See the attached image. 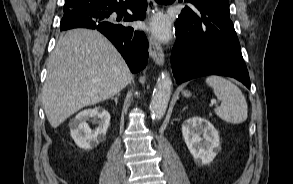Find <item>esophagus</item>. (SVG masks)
<instances>
[{"mask_svg": "<svg viewBox=\"0 0 293 184\" xmlns=\"http://www.w3.org/2000/svg\"><path fill=\"white\" fill-rule=\"evenodd\" d=\"M158 10V6L155 2V0H148V15L151 16L153 13H155ZM149 52L154 60V62L158 65H163L165 58H164V52L159 44V42L153 37L149 35Z\"/></svg>", "mask_w": 293, "mask_h": 184, "instance_id": "esophagus-1", "label": "esophagus"}]
</instances>
